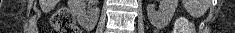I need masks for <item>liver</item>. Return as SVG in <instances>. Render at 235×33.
<instances>
[{"mask_svg": "<svg viewBox=\"0 0 235 33\" xmlns=\"http://www.w3.org/2000/svg\"><path fill=\"white\" fill-rule=\"evenodd\" d=\"M56 3L57 1L54 0H40V7L44 13H48L55 7Z\"/></svg>", "mask_w": 235, "mask_h": 33, "instance_id": "liver-1", "label": "liver"}]
</instances>
